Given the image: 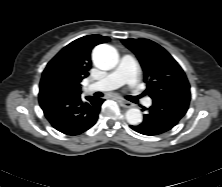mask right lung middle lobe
<instances>
[{
  "label": "right lung middle lobe",
  "mask_w": 222,
  "mask_h": 187,
  "mask_svg": "<svg viewBox=\"0 0 222 187\" xmlns=\"http://www.w3.org/2000/svg\"><path fill=\"white\" fill-rule=\"evenodd\" d=\"M63 85H64L66 88H68V89H69V87H68L67 85H65L64 83H63Z\"/></svg>",
  "instance_id": "dd1d6c3e"
}]
</instances>
